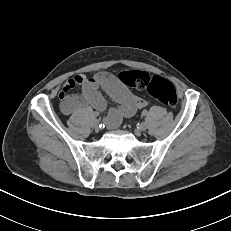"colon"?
<instances>
[{
  "instance_id": "obj_1",
  "label": "colon",
  "mask_w": 231,
  "mask_h": 231,
  "mask_svg": "<svg viewBox=\"0 0 231 231\" xmlns=\"http://www.w3.org/2000/svg\"><path fill=\"white\" fill-rule=\"evenodd\" d=\"M118 78L126 86L146 89L152 97L165 106L174 107L177 104L178 98L174 85L162 77H151L146 72L132 70L121 72Z\"/></svg>"
}]
</instances>
